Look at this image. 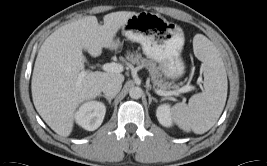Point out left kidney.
<instances>
[{
    "label": "left kidney",
    "instance_id": "1",
    "mask_svg": "<svg viewBox=\"0 0 267 166\" xmlns=\"http://www.w3.org/2000/svg\"><path fill=\"white\" fill-rule=\"evenodd\" d=\"M156 116L160 124L165 127L172 126V117L170 107L167 104L160 105L156 110Z\"/></svg>",
    "mask_w": 267,
    "mask_h": 166
}]
</instances>
